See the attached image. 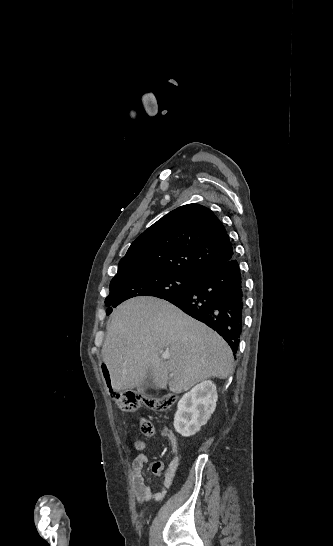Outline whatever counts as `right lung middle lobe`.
<instances>
[{"instance_id": "1", "label": "right lung middle lobe", "mask_w": 333, "mask_h": 546, "mask_svg": "<svg viewBox=\"0 0 333 546\" xmlns=\"http://www.w3.org/2000/svg\"><path fill=\"white\" fill-rule=\"evenodd\" d=\"M199 277L174 272H145L137 268L118 269L110 282V294L106 306L116 307L123 301L136 296H154L164 299L189 291ZM112 309L109 307L108 310Z\"/></svg>"}]
</instances>
